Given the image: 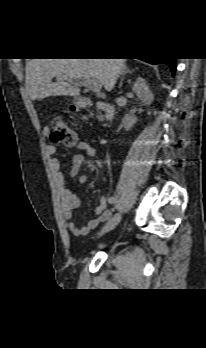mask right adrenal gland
Segmentation results:
<instances>
[{
    "label": "right adrenal gland",
    "instance_id": "1",
    "mask_svg": "<svg viewBox=\"0 0 206 348\" xmlns=\"http://www.w3.org/2000/svg\"><path fill=\"white\" fill-rule=\"evenodd\" d=\"M132 72H133V71H132V70H130L128 67H125V68H124V70H123V72H122V78H121V81H120L119 87H121V86H122V81H123L124 76H125L126 74H128V73H132Z\"/></svg>",
    "mask_w": 206,
    "mask_h": 348
}]
</instances>
